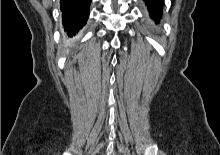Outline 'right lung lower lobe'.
Masks as SVG:
<instances>
[{
  "instance_id": "98d812e1",
  "label": "right lung lower lobe",
  "mask_w": 220,
  "mask_h": 155,
  "mask_svg": "<svg viewBox=\"0 0 220 155\" xmlns=\"http://www.w3.org/2000/svg\"><path fill=\"white\" fill-rule=\"evenodd\" d=\"M91 0H61L62 23L69 37L85 25Z\"/></svg>"
}]
</instances>
